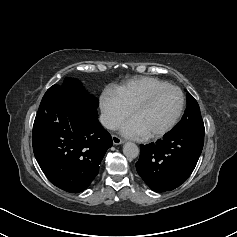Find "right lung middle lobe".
Instances as JSON below:
<instances>
[{"mask_svg": "<svg viewBox=\"0 0 237 237\" xmlns=\"http://www.w3.org/2000/svg\"><path fill=\"white\" fill-rule=\"evenodd\" d=\"M55 86L62 88V90L65 91L70 98L77 102L89 104L95 108L98 107V99L93 95H88L85 88L76 79L66 78L62 85Z\"/></svg>", "mask_w": 237, "mask_h": 237, "instance_id": "1", "label": "right lung middle lobe"}]
</instances>
